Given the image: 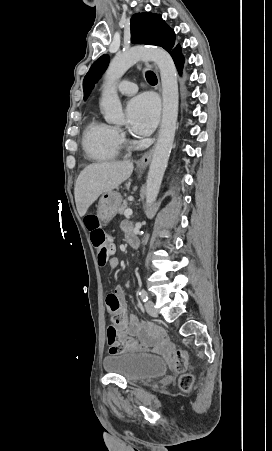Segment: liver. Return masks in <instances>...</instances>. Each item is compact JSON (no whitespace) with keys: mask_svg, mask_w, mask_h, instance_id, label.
Listing matches in <instances>:
<instances>
[{"mask_svg":"<svg viewBox=\"0 0 272 451\" xmlns=\"http://www.w3.org/2000/svg\"><path fill=\"white\" fill-rule=\"evenodd\" d=\"M132 162L90 164L80 172L75 184V202L79 216H85L91 204L103 194L128 180L133 172Z\"/></svg>","mask_w":272,"mask_h":451,"instance_id":"6515ba94","label":"liver"}]
</instances>
